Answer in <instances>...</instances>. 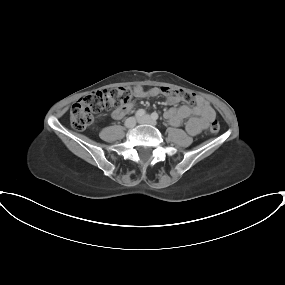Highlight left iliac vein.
I'll list each match as a JSON object with an SVG mask.
<instances>
[{
	"label": "left iliac vein",
	"instance_id": "left-iliac-vein-1",
	"mask_svg": "<svg viewBox=\"0 0 285 285\" xmlns=\"http://www.w3.org/2000/svg\"><path fill=\"white\" fill-rule=\"evenodd\" d=\"M140 124H149V125H156V121L149 115H145L138 119Z\"/></svg>",
	"mask_w": 285,
	"mask_h": 285
}]
</instances>
